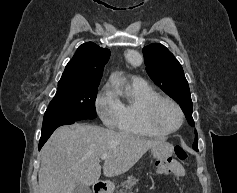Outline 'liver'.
<instances>
[{
    "label": "liver",
    "instance_id": "liver-1",
    "mask_svg": "<svg viewBox=\"0 0 237 193\" xmlns=\"http://www.w3.org/2000/svg\"><path fill=\"white\" fill-rule=\"evenodd\" d=\"M150 140L91 124L59 127L41 150L39 193H73L77 183L98 182L100 156L106 177L127 172L154 145Z\"/></svg>",
    "mask_w": 237,
    "mask_h": 193
}]
</instances>
